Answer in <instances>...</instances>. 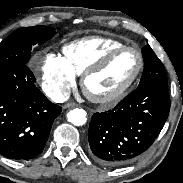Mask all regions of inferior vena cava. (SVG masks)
<instances>
[{
	"instance_id": "1",
	"label": "inferior vena cava",
	"mask_w": 183,
	"mask_h": 183,
	"mask_svg": "<svg viewBox=\"0 0 183 183\" xmlns=\"http://www.w3.org/2000/svg\"><path fill=\"white\" fill-rule=\"evenodd\" d=\"M70 92H51L48 96L56 103H63L69 98Z\"/></svg>"
}]
</instances>
